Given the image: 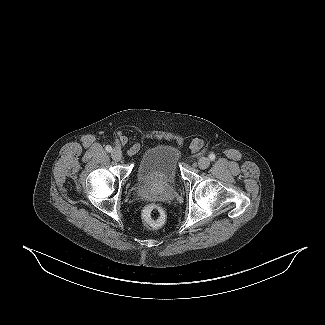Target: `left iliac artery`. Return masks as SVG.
Instances as JSON below:
<instances>
[{
  "label": "left iliac artery",
  "instance_id": "obj_1",
  "mask_svg": "<svg viewBox=\"0 0 325 325\" xmlns=\"http://www.w3.org/2000/svg\"><path fill=\"white\" fill-rule=\"evenodd\" d=\"M209 158H210L211 161H213V160H215L216 156H215V154L211 153L209 155Z\"/></svg>",
  "mask_w": 325,
  "mask_h": 325
}]
</instances>
